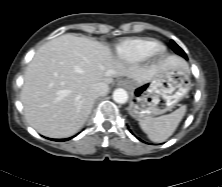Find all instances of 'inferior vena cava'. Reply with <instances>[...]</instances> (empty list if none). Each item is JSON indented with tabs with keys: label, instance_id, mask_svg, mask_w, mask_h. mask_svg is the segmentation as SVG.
<instances>
[{
	"label": "inferior vena cava",
	"instance_id": "602c4592",
	"mask_svg": "<svg viewBox=\"0 0 222 187\" xmlns=\"http://www.w3.org/2000/svg\"><path fill=\"white\" fill-rule=\"evenodd\" d=\"M107 91H108V85L103 82L95 83L90 88V92L95 98L106 94Z\"/></svg>",
	"mask_w": 222,
	"mask_h": 187
}]
</instances>
